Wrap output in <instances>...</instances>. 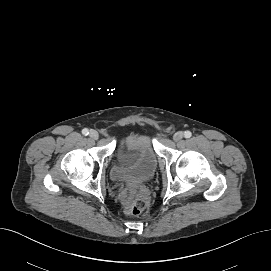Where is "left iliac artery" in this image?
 <instances>
[{
  "label": "left iliac artery",
  "instance_id": "1",
  "mask_svg": "<svg viewBox=\"0 0 271 271\" xmlns=\"http://www.w3.org/2000/svg\"><path fill=\"white\" fill-rule=\"evenodd\" d=\"M184 136H185V138H190L192 136V133L187 130L184 132Z\"/></svg>",
  "mask_w": 271,
  "mask_h": 271
}]
</instances>
